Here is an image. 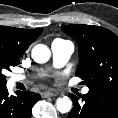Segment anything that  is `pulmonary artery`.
<instances>
[{
	"label": "pulmonary artery",
	"mask_w": 118,
	"mask_h": 118,
	"mask_svg": "<svg viewBox=\"0 0 118 118\" xmlns=\"http://www.w3.org/2000/svg\"><path fill=\"white\" fill-rule=\"evenodd\" d=\"M51 51L53 55L54 65L56 67H61L67 63L69 58L71 57L74 51V45L69 40L55 39L51 44ZM26 78L21 75H13L10 78V82L12 84L22 82ZM89 92V88L85 87L82 90L83 94H87Z\"/></svg>",
	"instance_id": "1"
}]
</instances>
